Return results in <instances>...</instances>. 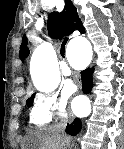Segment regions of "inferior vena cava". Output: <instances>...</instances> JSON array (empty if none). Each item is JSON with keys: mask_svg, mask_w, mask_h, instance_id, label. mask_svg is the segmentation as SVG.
Masks as SVG:
<instances>
[{"mask_svg": "<svg viewBox=\"0 0 124 149\" xmlns=\"http://www.w3.org/2000/svg\"><path fill=\"white\" fill-rule=\"evenodd\" d=\"M64 126H65V124L57 125V127L55 128V130L56 131H60L61 129H63Z\"/></svg>", "mask_w": 124, "mask_h": 149, "instance_id": "1", "label": "inferior vena cava"}]
</instances>
